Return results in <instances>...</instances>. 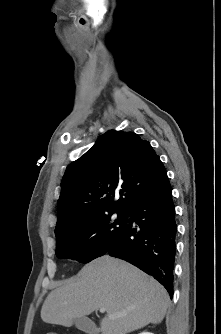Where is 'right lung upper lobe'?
I'll return each instance as SVG.
<instances>
[{
  "instance_id": "1",
  "label": "right lung upper lobe",
  "mask_w": 221,
  "mask_h": 334,
  "mask_svg": "<svg viewBox=\"0 0 221 334\" xmlns=\"http://www.w3.org/2000/svg\"><path fill=\"white\" fill-rule=\"evenodd\" d=\"M167 177L148 141L111 130L66 168L58 200L55 235L110 212H128ZM116 189L125 192L114 202Z\"/></svg>"
}]
</instances>
